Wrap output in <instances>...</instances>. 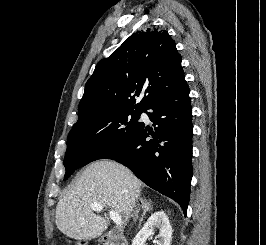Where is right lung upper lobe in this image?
Masks as SVG:
<instances>
[{"instance_id":"cb5924a9","label":"right lung upper lobe","mask_w":266,"mask_h":245,"mask_svg":"<svg viewBox=\"0 0 266 245\" xmlns=\"http://www.w3.org/2000/svg\"><path fill=\"white\" fill-rule=\"evenodd\" d=\"M181 56L165 30L145 29L127 38L97 64L85 85L79 119L116 107L146 109L158 96L184 81ZM145 92L135 104V97Z\"/></svg>"}]
</instances>
